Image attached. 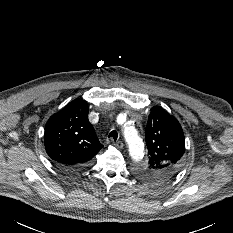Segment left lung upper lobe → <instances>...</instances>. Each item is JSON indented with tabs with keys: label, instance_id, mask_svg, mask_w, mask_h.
Wrapping results in <instances>:
<instances>
[{
	"label": "left lung upper lobe",
	"instance_id": "obj_1",
	"mask_svg": "<svg viewBox=\"0 0 233 233\" xmlns=\"http://www.w3.org/2000/svg\"><path fill=\"white\" fill-rule=\"evenodd\" d=\"M149 162L139 174L153 182H164L173 177L185 153L184 134L177 119L160 106L151 108L146 126Z\"/></svg>",
	"mask_w": 233,
	"mask_h": 233
}]
</instances>
